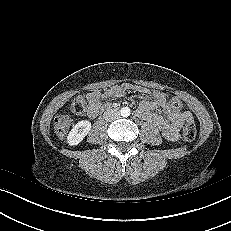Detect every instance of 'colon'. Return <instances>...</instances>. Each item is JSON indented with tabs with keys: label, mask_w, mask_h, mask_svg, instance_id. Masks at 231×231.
I'll return each mask as SVG.
<instances>
[{
	"label": "colon",
	"mask_w": 231,
	"mask_h": 231,
	"mask_svg": "<svg viewBox=\"0 0 231 231\" xmlns=\"http://www.w3.org/2000/svg\"><path fill=\"white\" fill-rule=\"evenodd\" d=\"M171 106L176 110H181L183 108L182 101L173 97L170 100ZM71 109L76 114H83L87 111V105L82 97H77L71 104ZM71 126V119L68 115H58L54 119V131L55 133L63 138L66 136L69 128ZM196 137V126L193 121H186L182 125V138L185 141H193Z\"/></svg>",
	"instance_id": "5ec220e1"
}]
</instances>
